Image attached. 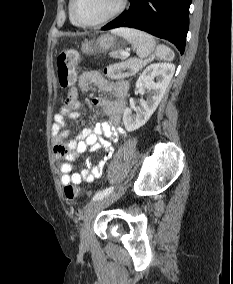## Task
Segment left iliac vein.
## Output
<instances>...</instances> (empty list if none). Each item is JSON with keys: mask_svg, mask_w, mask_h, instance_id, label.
Masks as SVG:
<instances>
[{"mask_svg": "<svg viewBox=\"0 0 233 284\" xmlns=\"http://www.w3.org/2000/svg\"><path fill=\"white\" fill-rule=\"evenodd\" d=\"M122 192H118L112 196H107L99 200H93L88 203L84 210L83 225L80 232L81 243L87 245L90 239V224L96 214L104 207L115 201L121 196Z\"/></svg>", "mask_w": 233, "mask_h": 284, "instance_id": "4c4485c4", "label": "left iliac vein"}]
</instances>
